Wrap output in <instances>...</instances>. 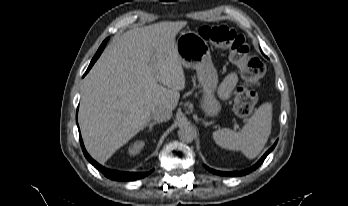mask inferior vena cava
Listing matches in <instances>:
<instances>
[{
    "instance_id": "inferior-vena-cava-1",
    "label": "inferior vena cava",
    "mask_w": 348,
    "mask_h": 206,
    "mask_svg": "<svg viewBox=\"0 0 348 206\" xmlns=\"http://www.w3.org/2000/svg\"><path fill=\"white\" fill-rule=\"evenodd\" d=\"M151 117L158 122L168 121L172 117V111L163 107H157L152 110Z\"/></svg>"
}]
</instances>
